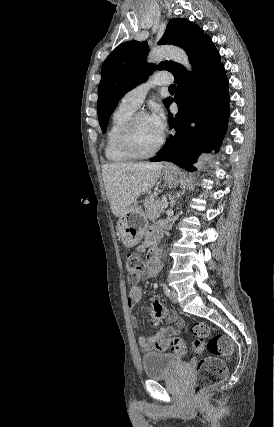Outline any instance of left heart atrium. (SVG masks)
Here are the masks:
<instances>
[{
	"label": "left heart atrium",
	"mask_w": 274,
	"mask_h": 427,
	"mask_svg": "<svg viewBox=\"0 0 274 427\" xmlns=\"http://www.w3.org/2000/svg\"><path fill=\"white\" fill-rule=\"evenodd\" d=\"M148 117L154 129L163 135L166 128L165 114L163 110L160 107H155L152 112L148 114Z\"/></svg>",
	"instance_id": "left-heart-atrium-1"
}]
</instances>
